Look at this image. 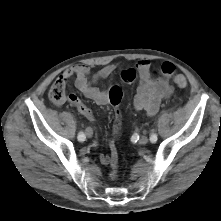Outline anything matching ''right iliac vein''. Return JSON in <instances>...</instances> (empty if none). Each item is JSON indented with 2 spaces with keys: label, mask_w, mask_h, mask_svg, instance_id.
Instances as JSON below:
<instances>
[{
  "label": "right iliac vein",
  "mask_w": 221,
  "mask_h": 221,
  "mask_svg": "<svg viewBox=\"0 0 221 221\" xmlns=\"http://www.w3.org/2000/svg\"><path fill=\"white\" fill-rule=\"evenodd\" d=\"M86 136L91 138L93 136V130L91 128L86 129Z\"/></svg>",
  "instance_id": "right-iliac-vein-1"
}]
</instances>
